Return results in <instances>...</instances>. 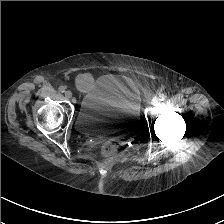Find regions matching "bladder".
I'll return each instance as SVG.
<instances>
[{
  "label": "bladder",
  "instance_id": "1",
  "mask_svg": "<svg viewBox=\"0 0 224 224\" xmlns=\"http://www.w3.org/2000/svg\"><path fill=\"white\" fill-rule=\"evenodd\" d=\"M139 124L137 97L114 74L96 79L83 95L75 119L82 135L119 140L134 135Z\"/></svg>",
  "mask_w": 224,
  "mask_h": 224
}]
</instances>
